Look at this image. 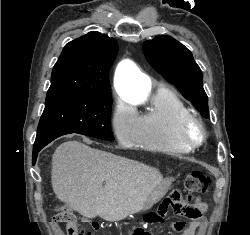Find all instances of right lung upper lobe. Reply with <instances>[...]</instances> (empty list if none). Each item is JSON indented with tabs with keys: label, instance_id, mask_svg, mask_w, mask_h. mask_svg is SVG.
<instances>
[{
	"label": "right lung upper lobe",
	"instance_id": "cb5924a9",
	"mask_svg": "<svg viewBox=\"0 0 250 235\" xmlns=\"http://www.w3.org/2000/svg\"><path fill=\"white\" fill-rule=\"evenodd\" d=\"M118 45L106 34L90 32L64 47L51 76L47 97L69 93L110 91L109 70Z\"/></svg>",
	"mask_w": 250,
	"mask_h": 235
}]
</instances>
